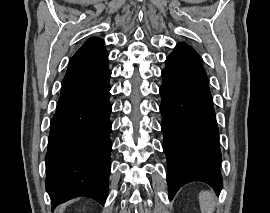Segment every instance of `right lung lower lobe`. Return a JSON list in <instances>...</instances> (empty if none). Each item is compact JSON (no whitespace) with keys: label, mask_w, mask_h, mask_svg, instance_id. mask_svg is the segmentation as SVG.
<instances>
[{"label":"right lung lower lobe","mask_w":270,"mask_h":213,"mask_svg":"<svg viewBox=\"0 0 270 213\" xmlns=\"http://www.w3.org/2000/svg\"><path fill=\"white\" fill-rule=\"evenodd\" d=\"M110 77L107 69L62 86L45 157L53 208L79 196L105 203L112 148Z\"/></svg>","instance_id":"98d812e1"}]
</instances>
